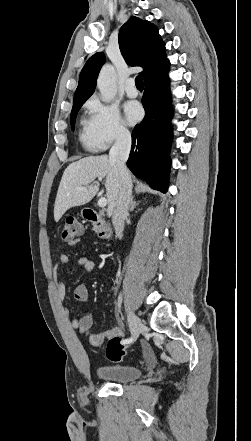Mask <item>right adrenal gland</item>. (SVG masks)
Here are the masks:
<instances>
[{"label":"right adrenal gland","instance_id":"1","mask_svg":"<svg viewBox=\"0 0 251 441\" xmlns=\"http://www.w3.org/2000/svg\"><path fill=\"white\" fill-rule=\"evenodd\" d=\"M138 204H139V201L136 202V201L134 200V197L132 196V198H131V202H130V210L133 211V210L136 208V206H137Z\"/></svg>","mask_w":251,"mask_h":441}]
</instances>
